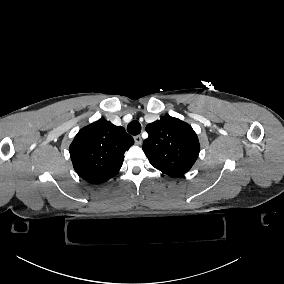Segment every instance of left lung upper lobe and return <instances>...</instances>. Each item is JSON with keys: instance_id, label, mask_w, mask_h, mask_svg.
<instances>
[{"instance_id": "5c2ea615", "label": "left lung upper lobe", "mask_w": 284, "mask_h": 284, "mask_svg": "<svg viewBox=\"0 0 284 284\" xmlns=\"http://www.w3.org/2000/svg\"><path fill=\"white\" fill-rule=\"evenodd\" d=\"M149 137L142 149L150 164L163 173L179 177L195 163L200 149L196 133L186 122L164 116L146 126Z\"/></svg>"}]
</instances>
